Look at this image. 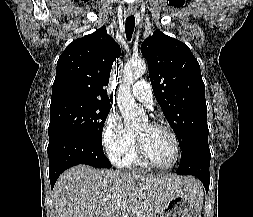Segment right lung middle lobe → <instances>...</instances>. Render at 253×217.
Masks as SVG:
<instances>
[{"instance_id":"dd1d6c3e","label":"right lung middle lobe","mask_w":253,"mask_h":217,"mask_svg":"<svg viewBox=\"0 0 253 217\" xmlns=\"http://www.w3.org/2000/svg\"><path fill=\"white\" fill-rule=\"evenodd\" d=\"M110 103L80 99L62 100L50 105L49 139L73 133L102 146V130L110 112Z\"/></svg>"}]
</instances>
